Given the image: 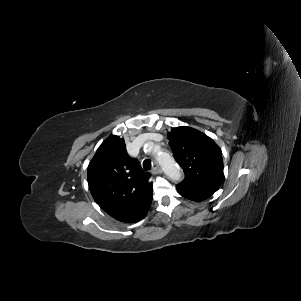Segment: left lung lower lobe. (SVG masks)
Returning a JSON list of instances; mask_svg holds the SVG:
<instances>
[{
  "mask_svg": "<svg viewBox=\"0 0 301 301\" xmlns=\"http://www.w3.org/2000/svg\"><path fill=\"white\" fill-rule=\"evenodd\" d=\"M176 188L181 196L195 202H201L203 200H206L212 195L211 193L202 192V191L189 190L181 187H176Z\"/></svg>",
  "mask_w": 301,
  "mask_h": 301,
  "instance_id": "0a47b994",
  "label": "left lung lower lobe"
}]
</instances>
